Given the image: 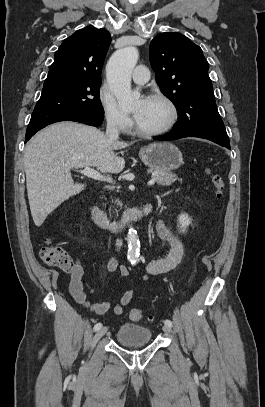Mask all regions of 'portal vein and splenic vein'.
I'll use <instances>...</instances> for the list:
<instances>
[{"mask_svg": "<svg viewBox=\"0 0 265 407\" xmlns=\"http://www.w3.org/2000/svg\"><path fill=\"white\" fill-rule=\"evenodd\" d=\"M81 174L95 179V180H105V177H103L98 171L90 168V167H85L83 170L80 171ZM109 182H112V180H109ZM155 180L151 179L150 181H148V185H154Z\"/></svg>", "mask_w": 265, "mask_h": 407, "instance_id": "portal-vein-and-splenic-vein-1", "label": "portal vein and splenic vein"}]
</instances>
